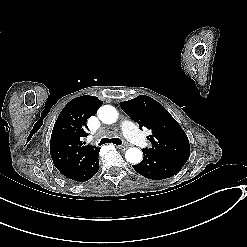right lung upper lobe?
<instances>
[{"instance_id": "cb5924a9", "label": "right lung upper lobe", "mask_w": 247, "mask_h": 247, "mask_svg": "<svg viewBox=\"0 0 247 247\" xmlns=\"http://www.w3.org/2000/svg\"><path fill=\"white\" fill-rule=\"evenodd\" d=\"M97 97L83 95L72 99L59 114L50 140V154L54 166L63 174L77 168L98 147L83 146L87 137V119L102 105Z\"/></svg>"}]
</instances>
